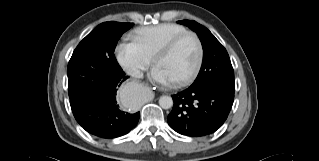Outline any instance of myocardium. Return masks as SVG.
<instances>
[{
  "label": "myocardium",
  "instance_id": "myocardium-1",
  "mask_svg": "<svg viewBox=\"0 0 319 161\" xmlns=\"http://www.w3.org/2000/svg\"><path fill=\"white\" fill-rule=\"evenodd\" d=\"M186 37H192L194 39L196 46H197V59H196V62L194 64L193 68L187 74H185L184 76H182L176 80L171 81V83L173 85H176V86L183 85V84L189 82L200 71V68H201L202 63H203V58H204V48H203V44H202V41L200 40L199 36L192 31H186L182 34H179V35L173 37L172 39H170L167 43H165L158 50V52L155 54V56L153 58V64L156 65L159 60L168 56L174 50V48L178 45V43L181 42Z\"/></svg>",
  "mask_w": 319,
  "mask_h": 161
}]
</instances>
